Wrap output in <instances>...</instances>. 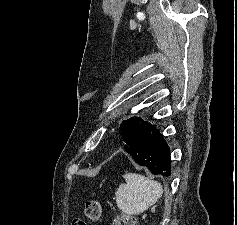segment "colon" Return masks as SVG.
<instances>
[{
	"instance_id": "obj_1",
	"label": "colon",
	"mask_w": 237,
	"mask_h": 225,
	"mask_svg": "<svg viewBox=\"0 0 237 225\" xmlns=\"http://www.w3.org/2000/svg\"><path fill=\"white\" fill-rule=\"evenodd\" d=\"M102 207L98 201H88L85 205V215L89 221H98L101 217ZM71 225H88L86 220L75 217ZM113 225H136V219L130 214H120L113 222Z\"/></svg>"
}]
</instances>
